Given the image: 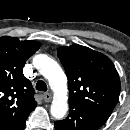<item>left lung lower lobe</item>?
<instances>
[{"label": "left lung lower lobe", "instance_id": "0a47b994", "mask_svg": "<svg viewBox=\"0 0 130 130\" xmlns=\"http://www.w3.org/2000/svg\"><path fill=\"white\" fill-rule=\"evenodd\" d=\"M108 119L101 113L86 107L70 106L69 115L56 121V130H98Z\"/></svg>", "mask_w": 130, "mask_h": 130}]
</instances>
